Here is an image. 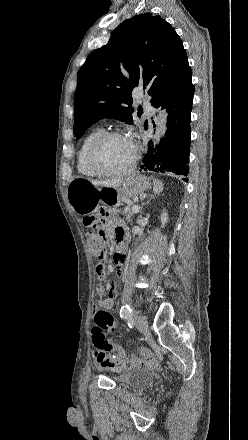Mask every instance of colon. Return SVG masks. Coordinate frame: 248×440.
<instances>
[{
  "label": "colon",
  "mask_w": 248,
  "mask_h": 440,
  "mask_svg": "<svg viewBox=\"0 0 248 440\" xmlns=\"http://www.w3.org/2000/svg\"><path fill=\"white\" fill-rule=\"evenodd\" d=\"M105 221L101 212L88 215L84 218L85 225L91 227L90 243L92 250L98 259H104L107 253L108 240L102 227ZM117 327L110 313L103 309H97L95 314V327L93 329V341L96 347L95 357L105 367L119 368L127 363L124 350L109 339L108 335L116 332Z\"/></svg>",
  "instance_id": "obj_1"
}]
</instances>
